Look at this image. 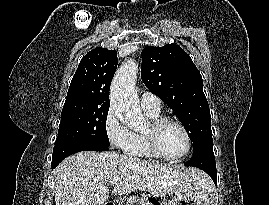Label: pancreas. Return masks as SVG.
Here are the masks:
<instances>
[{
	"label": "pancreas",
	"mask_w": 269,
	"mask_h": 205,
	"mask_svg": "<svg viewBox=\"0 0 269 205\" xmlns=\"http://www.w3.org/2000/svg\"><path fill=\"white\" fill-rule=\"evenodd\" d=\"M139 196L138 195H132L128 198L123 199V202L125 203V205H134L135 202H137Z\"/></svg>",
	"instance_id": "1"
}]
</instances>
